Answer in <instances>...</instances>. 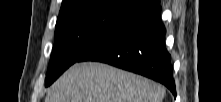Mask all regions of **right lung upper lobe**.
I'll use <instances>...</instances> for the list:
<instances>
[{
	"label": "right lung upper lobe",
	"mask_w": 221,
	"mask_h": 102,
	"mask_svg": "<svg viewBox=\"0 0 221 102\" xmlns=\"http://www.w3.org/2000/svg\"><path fill=\"white\" fill-rule=\"evenodd\" d=\"M87 1L90 0H63L60 13H64L76 7H79L80 5L84 4ZM122 1L128 6L134 7L139 11H142L148 8L149 6H151L157 0H122Z\"/></svg>",
	"instance_id": "obj_1"
}]
</instances>
